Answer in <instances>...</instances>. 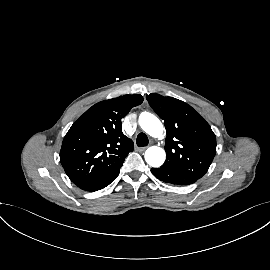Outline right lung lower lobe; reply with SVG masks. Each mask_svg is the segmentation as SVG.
Segmentation results:
<instances>
[{"instance_id": "right-lung-lower-lobe-1", "label": "right lung lower lobe", "mask_w": 270, "mask_h": 270, "mask_svg": "<svg viewBox=\"0 0 270 270\" xmlns=\"http://www.w3.org/2000/svg\"><path fill=\"white\" fill-rule=\"evenodd\" d=\"M119 171L120 170H118L110 175L102 176V177L97 178V179H93L90 181H86V182L77 184V186L83 190H86V191L100 190V189L106 187L107 185H109L118 176Z\"/></svg>"}]
</instances>
